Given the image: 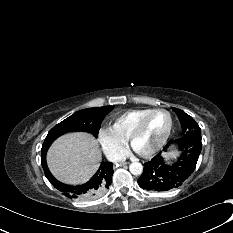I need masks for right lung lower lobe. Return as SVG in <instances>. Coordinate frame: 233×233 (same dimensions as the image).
Returning <instances> with one entry per match:
<instances>
[{
  "mask_svg": "<svg viewBox=\"0 0 233 233\" xmlns=\"http://www.w3.org/2000/svg\"><path fill=\"white\" fill-rule=\"evenodd\" d=\"M41 163L47 179L62 194L71 199H91L97 197L109 188L113 175V163L102 162L96 174L85 184L70 186L56 180L46 163V152L41 153Z\"/></svg>",
  "mask_w": 233,
  "mask_h": 233,
  "instance_id": "obj_1",
  "label": "right lung lower lobe"
}]
</instances>
